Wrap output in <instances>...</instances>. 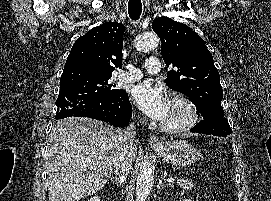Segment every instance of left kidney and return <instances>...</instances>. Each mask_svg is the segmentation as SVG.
<instances>
[{"mask_svg": "<svg viewBox=\"0 0 271 201\" xmlns=\"http://www.w3.org/2000/svg\"><path fill=\"white\" fill-rule=\"evenodd\" d=\"M181 201V200H180ZM183 201H192L191 199H185V200H183Z\"/></svg>", "mask_w": 271, "mask_h": 201, "instance_id": "left-kidney-1", "label": "left kidney"}]
</instances>
